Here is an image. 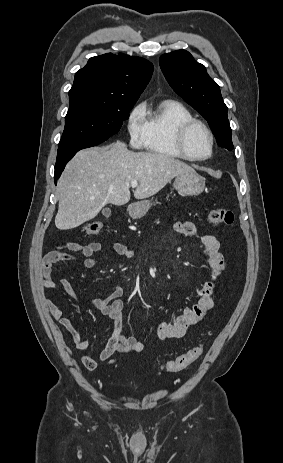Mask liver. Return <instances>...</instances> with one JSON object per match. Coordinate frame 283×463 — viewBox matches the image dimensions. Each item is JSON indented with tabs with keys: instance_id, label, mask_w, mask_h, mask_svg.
Wrapping results in <instances>:
<instances>
[{
	"instance_id": "obj_1",
	"label": "liver",
	"mask_w": 283,
	"mask_h": 463,
	"mask_svg": "<svg viewBox=\"0 0 283 463\" xmlns=\"http://www.w3.org/2000/svg\"><path fill=\"white\" fill-rule=\"evenodd\" d=\"M190 172L195 170L180 160L158 153L132 152L122 142L81 150L58 181L55 225L60 230L73 229L95 218L108 203H128L133 180L139 183L134 197L145 199L174 177Z\"/></svg>"
}]
</instances>
